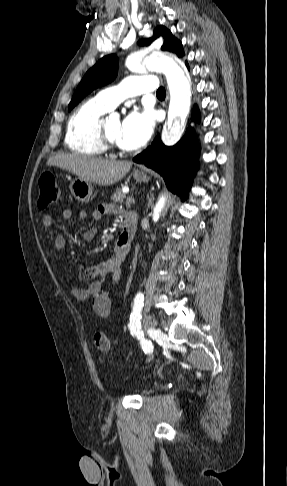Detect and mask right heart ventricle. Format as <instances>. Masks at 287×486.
<instances>
[{
	"label": "right heart ventricle",
	"mask_w": 287,
	"mask_h": 486,
	"mask_svg": "<svg viewBox=\"0 0 287 486\" xmlns=\"http://www.w3.org/2000/svg\"><path fill=\"white\" fill-rule=\"evenodd\" d=\"M109 110L96 98L81 104L68 120L66 147L73 153L91 157L102 156L106 149L100 141L99 130L101 118Z\"/></svg>",
	"instance_id": "right-heart-ventricle-1"
}]
</instances>
